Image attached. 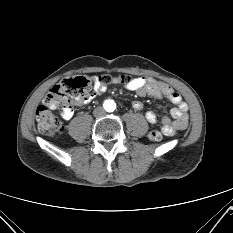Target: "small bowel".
Listing matches in <instances>:
<instances>
[{"instance_id": "c3829d8e", "label": "small bowel", "mask_w": 233, "mask_h": 233, "mask_svg": "<svg viewBox=\"0 0 233 233\" xmlns=\"http://www.w3.org/2000/svg\"><path fill=\"white\" fill-rule=\"evenodd\" d=\"M117 84L116 81H112ZM123 88L135 92L140 97L150 96L156 99H167L174 107L170 110V116L164 115L159 118L154 111H147L145 114L146 120L151 125L161 124V131L166 136H174L178 131L184 130L189 121L188 106L182 100V97L173 88L165 82H162L153 77L138 76L130 82L123 84ZM107 90V85L101 82L98 78L94 79L92 95L79 103V105H87L96 96L104 93ZM133 108L141 110L143 104L140 101L133 102ZM59 114L65 120H69L74 115V110L71 106H66L58 109Z\"/></svg>"}]
</instances>
